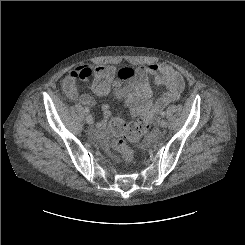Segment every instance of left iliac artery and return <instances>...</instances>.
<instances>
[{"label": "left iliac artery", "mask_w": 245, "mask_h": 245, "mask_svg": "<svg viewBox=\"0 0 245 245\" xmlns=\"http://www.w3.org/2000/svg\"><path fill=\"white\" fill-rule=\"evenodd\" d=\"M161 116H162V117L165 116V111L161 112Z\"/></svg>", "instance_id": "left-iliac-artery-1"}]
</instances>
